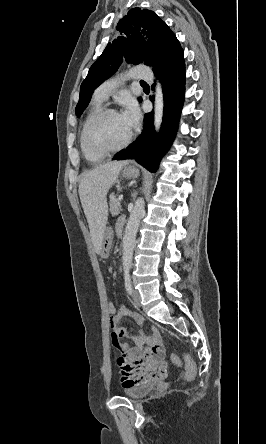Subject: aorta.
Segmentation results:
<instances>
[{
	"label": "aorta",
	"mask_w": 266,
	"mask_h": 444,
	"mask_svg": "<svg viewBox=\"0 0 266 444\" xmlns=\"http://www.w3.org/2000/svg\"><path fill=\"white\" fill-rule=\"evenodd\" d=\"M163 108H164V101H163L162 87L161 84L157 82L155 88V99H154V126L157 131L159 130L162 123ZM144 212H145L144 199L138 198L130 213L123 238L122 260H123V270L125 274L129 272V269L131 268L132 265L133 250L136 244V235L141 217L144 214Z\"/></svg>",
	"instance_id": "aorta-1"
}]
</instances>
